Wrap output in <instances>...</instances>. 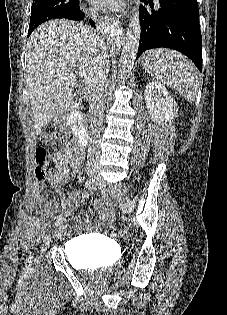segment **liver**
<instances>
[{
  "label": "liver",
  "instance_id": "6515ba94",
  "mask_svg": "<svg viewBox=\"0 0 227 315\" xmlns=\"http://www.w3.org/2000/svg\"><path fill=\"white\" fill-rule=\"evenodd\" d=\"M105 54L99 35L82 23L57 19L33 31L27 42L26 78L37 135L69 107L76 86L73 67L77 64L91 75Z\"/></svg>",
  "mask_w": 227,
  "mask_h": 315
}]
</instances>
